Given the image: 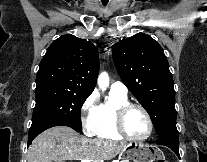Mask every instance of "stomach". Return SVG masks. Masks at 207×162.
Listing matches in <instances>:
<instances>
[{"instance_id": "0dacf381", "label": "stomach", "mask_w": 207, "mask_h": 162, "mask_svg": "<svg viewBox=\"0 0 207 162\" xmlns=\"http://www.w3.org/2000/svg\"><path fill=\"white\" fill-rule=\"evenodd\" d=\"M119 160H132L133 162H154L155 160H165L160 149L144 144H130L119 155ZM162 162V161H159Z\"/></svg>"}]
</instances>
